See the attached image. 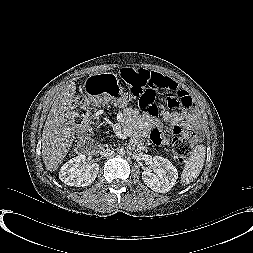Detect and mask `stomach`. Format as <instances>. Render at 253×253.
I'll return each instance as SVG.
<instances>
[{"label":"stomach","mask_w":253,"mask_h":253,"mask_svg":"<svg viewBox=\"0 0 253 253\" xmlns=\"http://www.w3.org/2000/svg\"><path fill=\"white\" fill-rule=\"evenodd\" d=\"M83 87L88 98L97 105L111 103L121 108L128 103V94L123 91L115 74L106 72L91 75Z\"/></svg>","instance_id":"obj_1"}]
</instances>
